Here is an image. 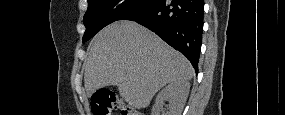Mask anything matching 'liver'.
<instances>
[{
	"mask_svg": "<svg viewBox=\"0 0 285 115\" xmlns=\"http://www.w3.org/2000/svg\"><path fill=\"white\" fill-rule=\"evenodd\" d=\"M84 86L117 85L120 96L137 109L150 104L166 84L194 75L190 62L156 34L133 21L114 22L93 38L84 61Z\"/></svg>",
	"mask_w": 285,
	"mask_h": 115,
	"instance_id": "6515ba94",
	"label": "liver"
}]
</instances>
